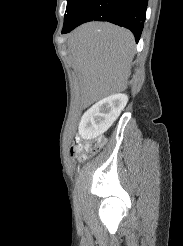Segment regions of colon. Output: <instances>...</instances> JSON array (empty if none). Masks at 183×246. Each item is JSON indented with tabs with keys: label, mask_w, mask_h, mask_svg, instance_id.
<instances>
[{
	"label": "colon",
	"mask_w": 183,
	"mask_h": 246,
	"mask_svg": "<svg viewBox=\"0 0 183 246\" xmlns=\"http://www.w3.org/2000/svg\"><path fill=\"white\" fill-rule=\"evenodd\" d=\"M101 146H102V142L98 140L86 144L76 145L72 149H73V153H76L80 155V157L85 158L87 156L94 155L95 153H97L101 148Z\"/></svg>",
	"instance_id": "colon-1"
}]
</instances>
